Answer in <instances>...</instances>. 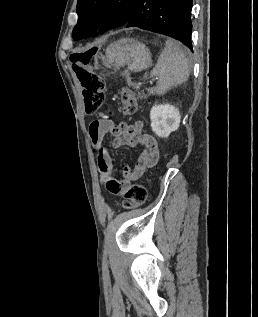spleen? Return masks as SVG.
<instances>
[{
    "instance_id": "obj_1",
    "label": "spleen",
    "mask_w": 258,
    "mask_h": 317,
    "mask_svg": "<svg viewBox=\"0 0 258 317\" xmlns=\"http://www.w3.org/2000/svg\"><path fill=\"white\" fill-rule=\"evenodd\" d=\"M189 52L180 48L175 40H166L151 76H158L156 86L148 88L149 94H164L173 86L185 82L189 76Z\"/></svg>"
}]
</instances>
